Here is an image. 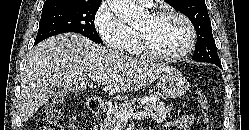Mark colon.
Listing matches in <instances>:
<instances>
[{"mask_svg":"<svg viewBox=\"0 0 249 130\" xmlns=\"http://www.w3.org/2000/svg\"><path fill=\"white\" fill-rule=\"evenodd\" d=\"M198 100L201 104L203 114L208 115V99L203 91H198ZM64 119V100L55 98L47 104L42 112L38 130H62ZM212 130V129H209Z\"/></svg>","mask_w":249,"mask_h":130,"instance_id":"1","label":"colon"}]
</instances>
